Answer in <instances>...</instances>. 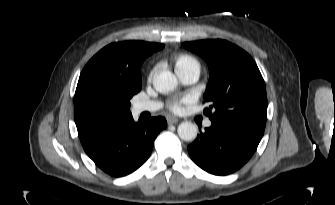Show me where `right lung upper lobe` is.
<instances>
[{"label": "right lung upper lobe", "mask_w": 335, "mask_h": 205, "mask_svg": "<svg viewBox=\"0 0 335 205\" xmlns=\"http://www.w3.org/2000/svg\"><path fill=\"white\" fill-rule=\"evenodd\" d=\"M163 44L143 41L112 43L101 49L80 74L74 119L80 138L102 132L131 117L130 99L142 87L140 66Z\"/></svg>", "instance_id": "right-lung-upper-lobe-1"}]
</instances>
